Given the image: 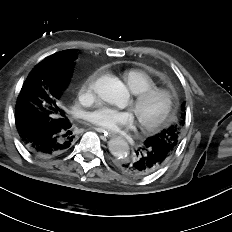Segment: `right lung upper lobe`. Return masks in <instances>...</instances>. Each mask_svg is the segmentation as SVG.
I'll return each instance as SVG.
<instances>
[{"instance_id":"obj_1","label":"right lung upper lobe","mask_w":232,"mask_h":232,"mask_svg":"<svg viewBox=\"0 0 232 232\" xmlns=\"http://www.w3.org/2000/svg\"><path fill=\"white\" fill-rule=\"evenodd\" d=\"M62 57H75L76 58V52L74 50H68V51L59 52V53L51 55L50 57L46 58L42 62H44V63H48V62L55 63L58 60H60Z\"/></svg>"}]
</instances>
